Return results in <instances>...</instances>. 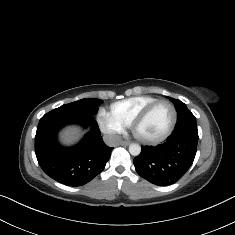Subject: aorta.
I'll list each match as a JSON object with an SVG mask.
<instances>
[{
  "label": "aorta",
  "mask_w": 235,
  "mask_h": 235,
  "mask_svg": "<svg viewBox=\"0 0 235 235\" xmlns=\"http://www.w3.org/2000/svg\"><path fill=\"white\" fill-rule=\"evenodd\" d=\"M129 152L133 156H138L141 153V146L139 144H130Z\"/></svg>",
  "instance_id": "762f6f07"
}]
</instances>
